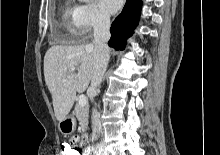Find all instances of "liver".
Wrapping results in <instances>:
<instances>
[{
    "mask_svg": "<svg viewBox=\"0 0 220 155\" xmlns=\"http://www.w3.org/2000/svg\"><path fill=\"white\" fill-rule=\"evenodd\" d=\"M93 50L91 44L55 45L45 54V83L52 95L55 117L59 122L69 114L76 93L85 91L89 86L93 72ZM72 67L77 68L78 72H69Z\"/></svg>",
    "mask_w": 220,
    "mask_h": 155,
    "instance_id": "6515ba94",
    "label": "liver"
}]
</instances>
